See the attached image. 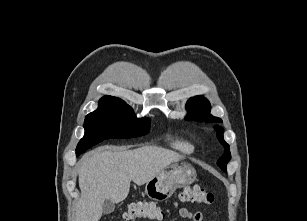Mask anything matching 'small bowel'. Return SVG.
<instances>
[{"mask_svg": "<svg viewBox=\"0 0 307 221\" xmlns=\"http://www.w3.org/2000/svg\"><path fill=\"white\" fill-rule=\"evenodd\" d=\"M178 213L180 217L189 221H202L203 214L200 211L192 212L187 208H179Z\"/></svg>", "mask_w": 307, "mask_h": 221, "instance_id": "small-bowel-1", "label": "small bowel"}]
</instances>
